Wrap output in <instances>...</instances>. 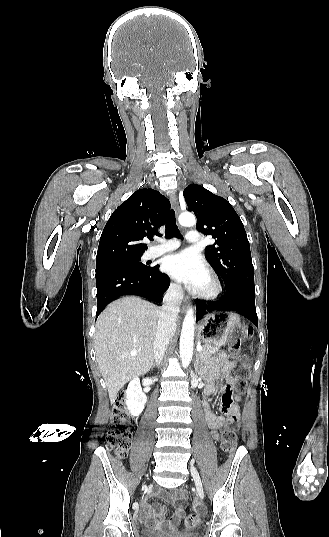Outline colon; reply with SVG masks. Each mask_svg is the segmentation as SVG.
<instances>
[{"instance_id":"5ec220e1","label":"colon","mask_w":329,"mask_h":537,"mask_svg":"<svg viewBox=\"0 0 329 537\" xmlns=\"http://www.w3.org/2000/svg\"><path fill=\"white\" fill-rule=\"evenodd\" d=\"M249 333L242 335L247 337ZM230 354L232 357L238 358V371L235 389L242 391L246 387L247 377L249 375L250 357L247 354H241L240 342L237 340L230 346ZM127 396L121 393L113 406V413L110 420L109 429L107 432V445L110 449L122 456L124 455L131 444L132 427L134 419L127 413ZM223 402L227 405L232 403L230 393L223 395ZM238 421L230 420L222 428L220 432L221 447L226 453H233L236 448ZM200 522V517L197 513H192L185 519V526L188 528L196 527Z\"/></svg>"}]
</instances>
